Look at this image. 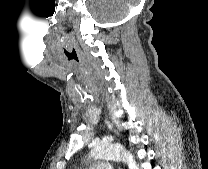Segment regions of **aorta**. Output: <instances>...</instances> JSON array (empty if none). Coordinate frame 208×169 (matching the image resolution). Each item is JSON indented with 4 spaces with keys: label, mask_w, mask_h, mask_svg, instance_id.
<instances>
[{
    "label": "aorta",
    "mask_w": 208,
    "mask_h": 169,
    "mask_svg": "<svg viewBox=\"0 0 208 169\" xmlns=\"http://www.w3.org/2000/svg\"><path fill=\"white\" fill-rule=\"evenodd\" d=\"M90 156L95 160H122L128 164L129 169H138L133 156L118 144L102 142L91 150Z\"/></svg>",
    "instance_id": "obj_1"
}]
</instances>
